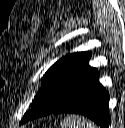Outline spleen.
I'll return each instance as SVG.
<instances>
[{
	"label": "spleen",
	"mask_w": 125,
	"mask_h": 128,
	"mask_svg": "<svg viewBox=\"0 0 125 128\" xmlns=\"http://www.w3.org/2000/svg\"><path fill=\"white\" fill-rule=\"evenodd\" d=\"M61 128H97V126L82 116L69 115L62 121Z\"/></svg>",
	"instance_id": "obj_1"
}]
</instances>
